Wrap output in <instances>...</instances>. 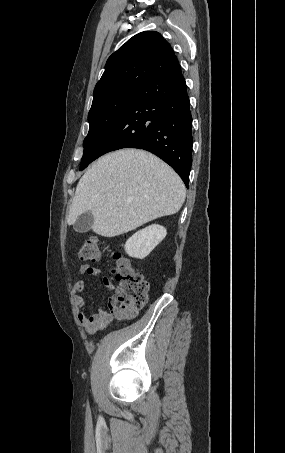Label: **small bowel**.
<instances>
[{
    "label": "small bowel",
    "mask_w": 285,
    "mask_h": 453,
    "mask_svg": "<svg viewBox=\"0 0 285 453\" xmlns=\"http://www.w3.org/2000/svg\"><path fill=\"white\" fill-rule=\"evenodd\" d=\"M78 273L80 275L97 276L101 274V271L98 268L90 265H81ZM102 283L107 291L113 290L114 285L108 277L104 276L102 278ZM73 289L76 293V296L74 297V303L76 307L77 317L87 334L94 335L97 332L102 331L113 320H121L124 317L113 297L108 300V311L100 308L96 313L90 315L86 314L85 300L80 295L85 290V283L83 281H78L77 283H75Z\"/></svg>",
    "instance_id": "1"
}]
</instances>
